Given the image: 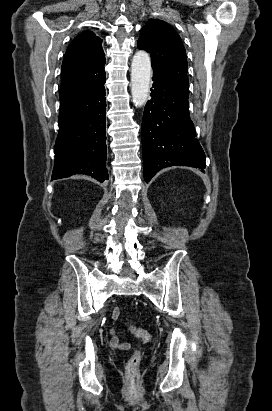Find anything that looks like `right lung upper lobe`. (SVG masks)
Instances as JSON below:
<instances>
[{
	"instance_id": "right-lung-upper-lobe-1",
	"label": "right lung upper lobe",
	"mask_w": 272,
	"mask_h": 411,
	"mask_svg": "<svg viewBox=\"0 0 272 411\" xmlns=\"http://www.w3.org/2000/svg\"><path fill=\"white\" fill-rule=\"evenodd\" d=\"M101 43L102 39L88 30L73 39L62 63L60 100L92 89L105 80V54Z\"/></svg>"
}]
</instances>
